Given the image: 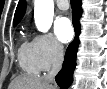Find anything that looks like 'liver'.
<instances>
[{
  "instance_id": "liver-1",
  "label": "liver",
  "mask_w": 107,
  "mask_h": 89,
  "mask_svg": "<svg viewBox=\"0 0 107 89\" xmlns=\"http://www.w3.org/2000/svg\"><path fill=\"white\" fill-rule=\"evenodd\" d=\"M46 77L20 75L12 80L9 89H55Z\"/></svg>"
}]
</instances>
